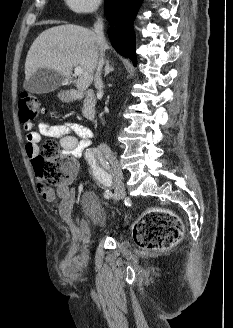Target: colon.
Masks as SVG:
<instances>
[{
  "instance_id": "colon-1",
  "label": "colon",
  "mask_w": 233,
  "mask_h": 328,
  "mask_svg": "<svg viewBox=\"0 0 233 328\" xmlns=\"http://www.w3.org/2000/svg\"><path fill=\"white\" fill-rule=\"evenodd\" d=\"M19 118L22 123H31L38 115L48 111L40 106L38 98L31 93L21 92L18 99ZM36 175L49 185L57 186L69 179L74 166L63 163L57 144L47 141L40 153L33 159ZM183 233L179 217L166 209H151L144 212L133 229L135 243L149 251H164L176 245Z\"/></svg>"
}]
</instances>
